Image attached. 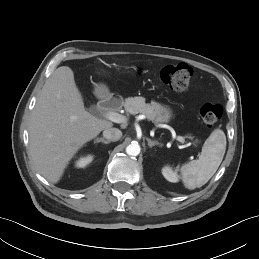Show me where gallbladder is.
Wrapping results in <instances>:
<instances>
[{
	"label": "gallbladder",
	"instance_id": "obj_1",
	"mask_svg": "<svg viewBox=\"0 0 259 259\" xmlns=\"http://www.w3.org/2000/svg\"><path fill=\"white\" fill-rule=\"evenodd\" d=\"M94 110H95V106H94V105H91L90 108H89V111H90L91 113H94Z\"/></svg>",
	"mask_w": 259,
	"mask_h": 259
}]
</instances>
